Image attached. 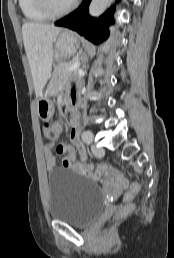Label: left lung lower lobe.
Returning a JSON list of instances; mask_svg holds the SVG:
<instances>
[{"mask_svg": "<svg viewBox=\"0 0 174 258\" xmlns=\"http://www.w3.org/2000/svg\"><path fill=\"white\" fill-rule=\"evenodd\" d=\"M90 2L91 0H83L77 10L55 22V25L77 31L92 43L99 44L109 36L108 25L113 21L114 7L97 19L89 15Z\"/></svg>", "mask_w": 174, "mask_h": 258, "instance_id": "1", "label": "left lung lower lobe"}]
</instances>
